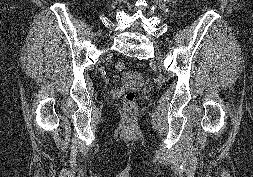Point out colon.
<instances>
[{
  "mask_svg": "<svg viewBox=\"0 0 253 177\" xmlns=\"http://www.w3.org/2000/svg\"><path fill=\"white\" fill-rule=\"evenodd\" d=\"M115 68L117 71L122 72L125 70V64L121 61H118L115 64ZM135 99H136V94L133 90H127L124 95V103H125V108L128 111H133L135 109Z\"/></svg>",
  "mask_w": 253,
  "mask_h": 177,
  "instance_id": "obj_1",
  "label": "colon"
}]
</instances>
